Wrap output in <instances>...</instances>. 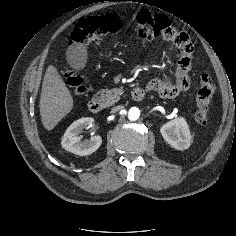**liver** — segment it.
I'll list each match as a JSON object with an SVG mask.
<instances>
[{
	"instance_id": "liver-1",
	"label": "liver",
	"mask_w": 236,
	"mask_h": 236,
	"mask_svg": "<svg viewBox=\"0 0 236 236\" xmlns=\"http://www.w3.org/2000/svg\"><path fill=\"white\" fill-rule=\"evenodd\" d=\"M41 121L52 130L73 108V98L55 66L49 65L42 83L40 96Z\"/></svg>"
}]
</instances>
